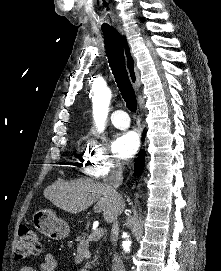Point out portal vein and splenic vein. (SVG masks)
<instances>
[{
    "instance_id": "portal-vein-and-splenic-vein-1",
    "label": "portal vein and splenic vein",
    "mask_w": 221,
    "mask_h": 271,
    "mask_svg": "<svg viewBox=\"0 0 221 271\" xmlns=\"http://www.w3.org/2000/svg\"><path fill=\"white\" fill-rule=\"evenodd\" d=\"M102 229L103 228L100 226L98 229H95V231H92L91 234H92L93 237H90V239H89L90 242H97V240H98L97 238H102V236H103L102 235V232H103Z\"/></svg>"
}]
</instances>
